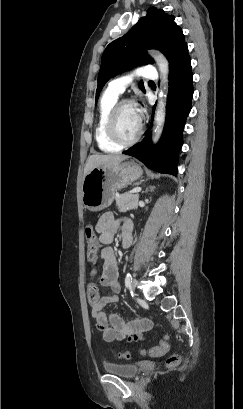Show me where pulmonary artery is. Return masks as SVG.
Segmentation results:
<instances>
[{"label": "pulmonary artery", "instance_id": "e3ab8cb5", "mask_svg": "<svg viewBox=\"0 0 243 409\" xmlns=\"http://www.w3.org/2000/svg\"><path fill=\"white\" fill-rule=\"evenodd\" d=\"M135 77L143 78L146 80H155L157 79L158 74L153 65H151V69H148V67H142L131 73L111 80L108 84V90L120 96L124 93L126 87L133 81Z\"/></svg>", "mask_w": 243, "mask_h": 409}]
</instances>
